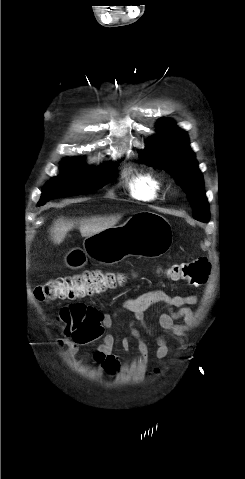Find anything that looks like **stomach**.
<instances>
[{
	"label": "stomach",
	"mask_w": 245,
	"mask_h": 479,
	"mask_svg": "<svg viewBox=\"0 0 245 479\" xmlns=\"http://www.w3.org/2000/svg\"><path fill=\"white\" fill-rule=\"evenodd\" d=\"M172 243V228L162 215L142 211L123 225L87 237L83 249L74 248L65 256L68 267L85 265L87 257L102 264H117L129 256L156 258L165 254Z\"/></svg>",
	"instance_id": "obj_1"
}]
</instances>
